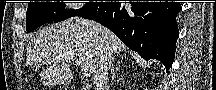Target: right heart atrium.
<instances>
[{"label":"right heart atrium","instance_id":"right-heart-atrium-1","mask_svg":"<svg viewBox=\"0 0 216 90\" xmlns=\"http://www.w3.org/2000/svg\"><path fill=\"white\" fill-rule=\"evenodd\" d=\"M70 10L72 12H81L82 10H86L87 6H83L84 2H71Z\"/></svg>","mask_w":216,"mask_h":90}]
</instances>
